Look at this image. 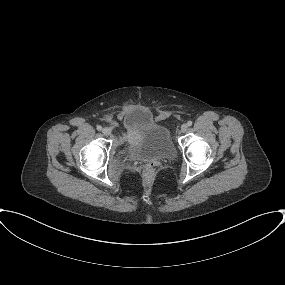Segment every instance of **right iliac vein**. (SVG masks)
Returning a JSON list of instances; mask_svg holds the SVG:
<instances>
[{"instance_id": "obj_1", "label": "right iliac vein", "mask_w": 285, "mask_h": 285, "mask_svg": "<svg viewBox=\"0 0 285 285\" xmlns=\"http://www.w3.org/2000/svg\"><path fill=\"white\" fill-rule=\"evenodd\" d=\"M102 133L105 136H109L111 134V130L108 127L102 129Z\"/></svg>"}]
</instances>
